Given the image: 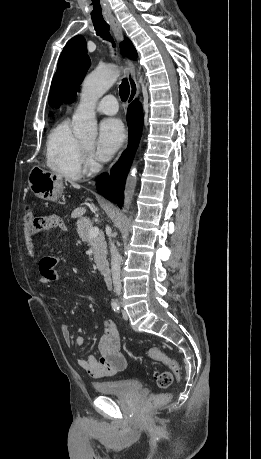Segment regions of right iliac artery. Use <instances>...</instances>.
Masks as SVG:
<instances>
[{"mask_svg":"<svg viewBox=\"0 0 261 459\" xmlns=\"http://www.w3.org/2000/svg\"><path fill=\"white\" fill-rule=\"evenodd\" d=\"M112 309L115 311V312H119L120 310V304L117 300H113L112 303Z\"/></svg>","mask_w":261,"mask_h":459,"instance_id":"obj_1","label":"right iliac artery"}]
</instances>
